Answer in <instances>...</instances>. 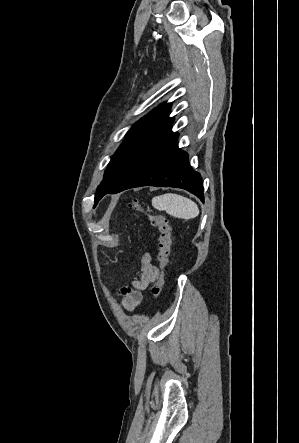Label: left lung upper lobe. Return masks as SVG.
<instances>
[{"mask_svg": "<svg viewBox=\"0 0 299 443\" xmlns=\"http://www.w3.org/2000/svg\"><path fill=\"white\" fill-rule=\"evenodd\" d=\"M169 113L170 104L163 103L130 128L123 143L111 158L103 181L97 188L95 202L136 162L172 134L173 118H169Z\"/></svg>", "mask_w": 299, "mask_h": 443, "instance_id": "obj_1", "label": "left lung upper lobe"}]
</instances>
